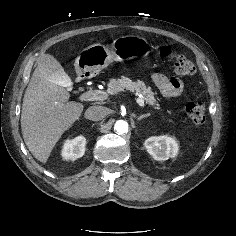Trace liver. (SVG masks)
Masks as SVG:
<instances>
[{
  "mask_svg": "<svg viewBox=\"0 0 236 236\" xmlns=\"http://www.w3.org/2000/svg\"><path fill=\"white\" fill-rule=\"evenodd\" d=\"M69 98L66 89L48 79L38 59L23 98L21 129L29 151L42 163L47 162L62 134L82 114L84 106L69 102Z\"/></svg>",
  "mask_w": 236,
  "mask_h": 236,
  "instance_id": "liver-1",
  "label": "liver"
}]
</instances>
